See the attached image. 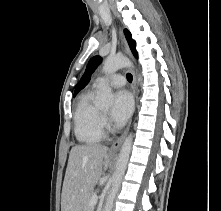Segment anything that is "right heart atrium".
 I'll return each instance as SVG.
<instances>
[{
	"instance_id": "d8ad5b80",
	"label": "right heart atrium",
	"mask_w": 221,
	"mask_h": 211,
	"mask_svg": "<svg viewBox=\"0 0 221 211\" xmlns=\"http://www.w3.org/2000/svg\"><path fill=\"white\" fill-rule=\"evenodd\" d=\"M102 124H103V125H106V120H105V118L102 119Z\"/></svg>"
}]
</instances>
